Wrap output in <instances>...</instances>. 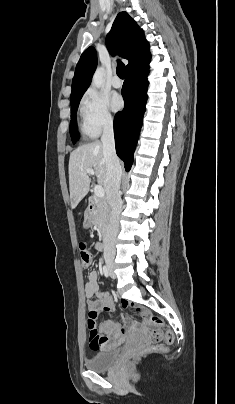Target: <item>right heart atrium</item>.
I'll return each mask as SVG.
<instances>
[{
  "label": "right heart atrium",
  "mask_w": 235,
  "mask_h": 404,
  "mask_svg": "<svg viewBox=\"0 0 235 404\" xmlns=\"http://www.w3.org/2000/svg\"><path fill=\"white\" fill-rule=\"evenodd\" d=\"M80 108L86 123L94 135L113 126L114 117L107 99L97 91L90 89L83 95Z\"/></svg>",
  "instance_id": "right-heart-atrium-1"
}]
</instances>
